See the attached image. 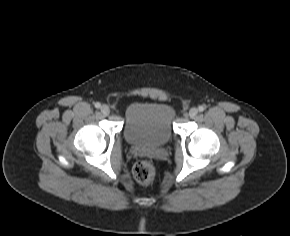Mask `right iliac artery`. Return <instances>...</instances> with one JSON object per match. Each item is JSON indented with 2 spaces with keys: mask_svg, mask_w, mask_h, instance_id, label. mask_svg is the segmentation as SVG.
<instances>
[{
  "mask_svg": "<svg viewBox=\"0 0 290 236\" xmlns=\"http://www.w3.org/2000/svg\"><path fill=\"white\" fill-rule=\"evenodd\" d=\"M95 107L96 108H100L101 107V104L99 102L95 103Z\"/></svg>",
  "mask_w": 290,
  "mask_h": 236,
  "instance_id": "right-iliac-artery-1",
  "label": "right iliac artery"
}]
</instances>
